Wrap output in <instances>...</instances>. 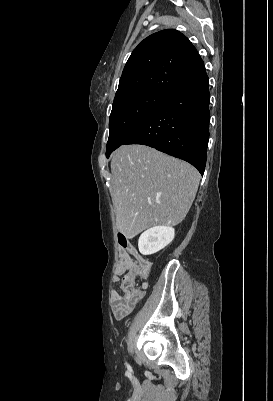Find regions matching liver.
Instances as JSON below:
<instances>
[{"label": "liver", "instance_id": "obj_1", "mask_svg": "<svg viewBox=\"0 0 273 401\" xmlns=\"http://www.w3.org/2000/svg\"><path fill=\"white\" fill-rule=\"evenodd\" d=\"M111 172L116 227L126 239L156 225H179L194 201L200 180L198 170L188 162L144 144L117 148Z\"/></svg>", "mask_w": 273, "mask_h": 401}]
</instances>
